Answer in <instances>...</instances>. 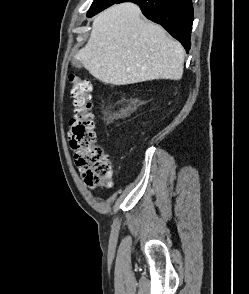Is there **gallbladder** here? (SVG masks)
I'll use <instances>...</instances> for the list:
<instances>
[{
	"instance_id": "obj_1",
	"label": "gallbladder",
	"mask_w": 249,
	"mask_h": 294,
	"mask_svg": "<svg viewBox=\"0 0 249 294\" xmlns=\"http://www.w3.org/2000/svg\"><path fill=\"white\" fill-rule=\"evenodd\" d=\"M72 65L75 67V68H82V63L80 60H77L76 58H73L72 59Z\"/></svg>"
}]
</instances>
